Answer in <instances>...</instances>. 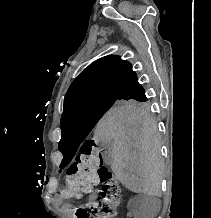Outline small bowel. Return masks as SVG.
Listing matches in <instances>:
<instances>
[{"instance_id": "obj_1", "label": "small bowel", "mask_w": 211, "mask_h": 218, "mask_svg": "<svg viewBox=\"0 0 211 218\" xmlns=\"http://www.w3.org/2000/svg\"><path fill=\"white\" fill-rule=\"evenodd\" d=\"M96 197V194H92L90 196L91 200H94ZM66 196H65V190H61L58 193H56L55 197H54V203L59 205L62 209H64L67 212H71L72 211V207L70 204L65 202Z\"/></svg>"}]
</instances>
